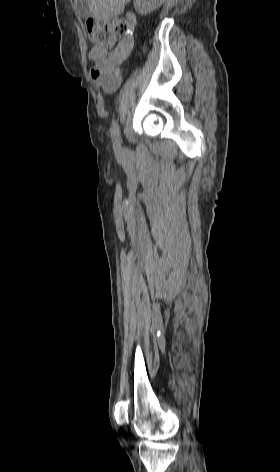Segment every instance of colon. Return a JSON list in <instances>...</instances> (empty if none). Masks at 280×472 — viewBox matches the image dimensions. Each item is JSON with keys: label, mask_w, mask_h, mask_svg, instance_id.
<instances>
[{"label": "colon", "mask_w": 280, "mask_h": 472, "mask_svg": "<svg viewBox=\"0 0 280 472\" xmlns=\"http://www.w3.org/2000/svg\"><path fill=\"white\" fill-rule=\"evenodd\" d=\"M89 40L94 47L109 48L115 39L125 37L131 32L132 24L128 20H115L111 23H100L88 20L86 23Z\"/></svg>", "instance_id": "1"}]
</instances>
